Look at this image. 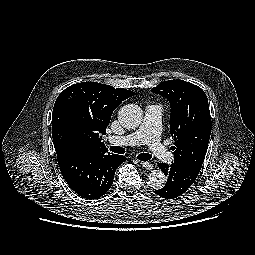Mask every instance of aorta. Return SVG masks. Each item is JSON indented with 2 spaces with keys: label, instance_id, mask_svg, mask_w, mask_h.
Instances as JSON below:
<instances>
[{
  "label": "aorta",
  "instance_id": "aorta-1",
  "mask_svg": "<svg viewBox=\"0 0 255 255\" xmlns=\"http://www.w3.org/2000/svg\"><path fill=\"white\" fill-rule=\"evenodd\" d=\"M143 120L142 109L136 104L124 105L118 112V121L126 129L138 127ZM148 184L153 189H161L166 184L165 174L157 169L152 170L147 177Z\"/></svg>",
  "mask_w": 255,
  "mask_h": 255
}]
</instances>
